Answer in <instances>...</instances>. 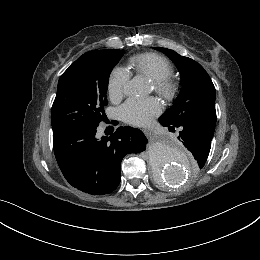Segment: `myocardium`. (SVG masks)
Segmentation results:
<instances>
[{"label":"myocardium","instance_id":"obj_1","mask_svg":"<svg viewBox=\"0 0 260 260\" xmlns=\"http://www.w3.org/2000/svg\"><path fill=\"white\" fill-rule=\"evenodd\" d=\"M153 85L157 94L165 99L173 98L179 90L178 83L169 77L162 80L153 81Z\"/></svg>","mask_w":260,"mask_h":260}]
</instances>
